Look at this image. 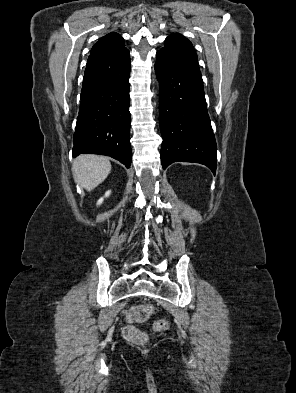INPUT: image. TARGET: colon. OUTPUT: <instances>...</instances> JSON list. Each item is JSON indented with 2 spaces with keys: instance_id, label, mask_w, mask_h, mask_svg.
Returning a JSON list of instances; mask_svg holds the SVG:
<instances>
[{
  "instance_id": "colon-1",
  "label": "colon",
  "mask_w": 296,
  "mask_h": 393,
  "mask_svg": "<svg viewBox=\"0 0 296 393\" xmlns=\"http://www.w3.org/2000/svg\"><path fill=\"white\" fill-rule=\"evenodd\" d=\"M156 312V307L152 304H140L133 306L125 311V318L129 322H145ZM168 322L159 320L154 323V330L161 331L168 328ZM125 337L134 344L143 345L148 341V335L133 326L124 329Z\"/></svg>"
}]
</instances>
